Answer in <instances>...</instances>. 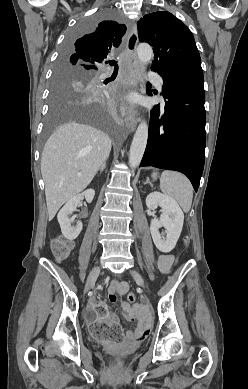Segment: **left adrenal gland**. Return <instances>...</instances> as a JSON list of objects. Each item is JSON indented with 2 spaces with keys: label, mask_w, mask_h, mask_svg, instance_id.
I'll list each match as a JSON object with an SVG mask.
<instances>
[{
  "label": "left adrenal gland",
  "mask_w": 248,
  "mask_h": 389,
  "mask_svg": "<svg viewBox=\"0 0 248 389\" xmlns=\"http://www.w3.org/2000/svg\"><path fill=\"white\" fill-rule=\"evenodd\" d=\"M144 184H149L152 186V183L150 182L149 178L146 179V182Z\"/></svg>",
  "instance_id": "obj_1"
}]
</instances>
